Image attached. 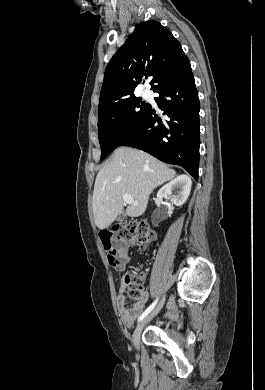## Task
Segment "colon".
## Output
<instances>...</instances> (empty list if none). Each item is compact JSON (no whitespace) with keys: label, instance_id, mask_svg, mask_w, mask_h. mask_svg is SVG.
I'll use <instances>...</instances> for the list:
<instances>
[{"label":"colon","instance_id":"5ec220e1","mask_svg":"<svg viewBox=\"0 0 265 390\" xmlns=\"http://www.w3.org/2000/svg\"><path fill=\"white\" fill-rule=\"evenodd\" d=\"M154 232L146 222L134 224H117L109 232H105L101 239L107 252L109 264L122 269L126 264V248L130 244H137L140 248H147L154 240ZM144 275L133 269L125 276L128 297L140 300L143 295Z\"/></svg>","mask_w":265,"mask_h":390}]
</instances>
